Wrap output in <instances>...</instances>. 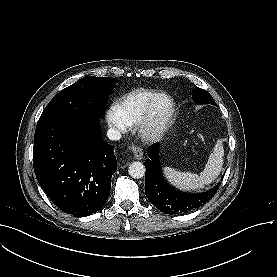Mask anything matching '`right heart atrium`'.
Returning <instances> with one entry per match:
<instances>
[{
	"instance_id": "1",
	"label": "right heart atrium",
	"mask_w": 277,
	"mask_h": 277,
	"mask_svg": "<svg viewBox=\"0 0 277 277\" xmlns=\"http://www.w3.org/2000/svg\"><path fill=\"white\" fill-rule=\"evenodd\" d=\"M106 119L108 125L118 131V132H124L127 129V125L125 121L123 120L120 112L115 106H112L109 108L106 114Z\"/></svg>"
}]
</instances>
